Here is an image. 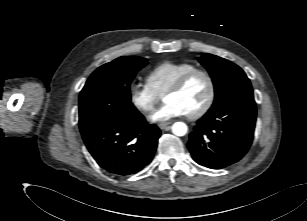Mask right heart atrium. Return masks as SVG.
<instances>
[{
  "label": "right heart atrium",
  "instance_id": "d8ad5b80",
  "mask_svg": "<svg viewBox=\"0 0 307 221\" xmlns=\"http://www.w3.org/2000/svg\"><path fill=\"white\" fill-rule=\"evenodd\" d=\"M131 104L142 113H150L159 103L158 95L147 83H134L129 89Z\"/></svg>",
  "mask_w": 307,
  "mask_h": 221
}]
</instances>
